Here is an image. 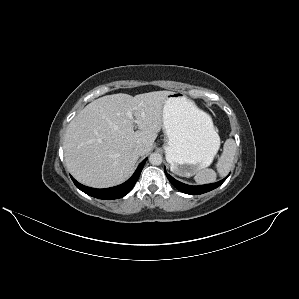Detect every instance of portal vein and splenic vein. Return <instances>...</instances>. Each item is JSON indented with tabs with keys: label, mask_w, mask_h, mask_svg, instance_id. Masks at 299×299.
<instances>
[{
	"label": "portal vein and splenic vein",
	"mask_w": 299,
	"mask_h": 299,
	"mask_svg": "<svg viewBox=\"0 0 299 299\" xmlns=\"http://www.w3.org/2000/svg\"><path fill=\"white\" fill-rule=\"evenodd\" d=\"M127 116H128L133 122H136V121L133 119V116H132V112H131V111H127Z\"/></svg>",
	"instance_id": "1"
}]
</instances>
